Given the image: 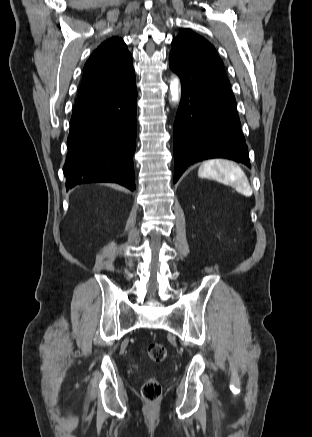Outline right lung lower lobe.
<instances>
[{"instance_id": "obj_1", "label": "right lung lower lobe", "mask_w": 312, "mask_h": 437, "mask_svg": "<svg viewBox=\"0 0 312 437\" xmlns=\"http://www.w3.org/2000/svg\"><path fill=\"white\" fill-rule=\"evenodd\" d=\"M136 113L135 73L114 91L74 106L63 167L67 190L85 183L115 182L134 191Z\"/></svg>"}]
</instances>
